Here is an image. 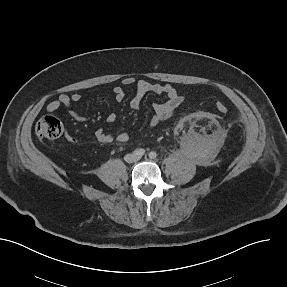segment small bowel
Returning <instances> with one entry per match:
<instances>
[{
  "label": "small bowel",
  "instance_id": "c3829d8e",
  "mask_svg": "<svg viewBox=\"0 0 287 287\" xmlns=\"http://www.w3.org/2000/svg\"><path fill=\"white\" fill-rule=\"evenodd\" d=\"M122 84L127 87H135V94L130 101V106L133 109H138L140 107L146 94H164L166 96L164 102L153 105V113L149 121L151 127L156 126L159 122L171 117L183 101V97L177 92L175 87L168 83H153L146 80H136L132 76H126L122 79ZM113 96L116 102H122L125 99V91L122 87H115L113 89ZM81 99L82 96L79 93H74L72 95L62 94L57 99L50 101L47 104L46 109L48 112L53 113L61 107H64L70 117L75 121L85 122L87 117L77 112L74 108V105L80 102ZM107 120L109 122H114L116 120V115L114 113L109 114ZM94 136L95 139L102 144H111L114 141L127 143L130 140V136L125 132L114 136L102 129L96 130ZM67 141L72 144L78 142L72 135L67 136Z\"/></svg>",
  "mask_w": 287,
  "mask_h": 287
}]
</instances>
